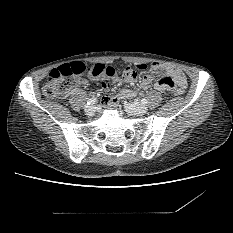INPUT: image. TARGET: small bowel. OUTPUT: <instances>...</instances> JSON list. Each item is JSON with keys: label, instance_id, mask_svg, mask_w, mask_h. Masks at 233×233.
Wrapping results in <instances>:
<instances>
[{"label": "small bowel", "instance_id": "1", "mask_svg": "<svg viewBox=\"0 0 233 233\" xmlns=\"http://www.w3.org/2000/svg\"><path fill=\"white\" fill-rule=\"evenodd\" d=\"M141 64L137 65L139 68ZM152 72L144 74L140 80V87L145 88L150 85L154 78L155 72L159 70H164L166 72V78L160 79L155 83V89L159 92H163L168 88L170 91H175L177 88H185L187 85L186 77L184 76L183 72L173 65H164L162 63H153L152 65ZM116 70V69H115ZM119 80V76L117 72L108 79H101L100 84L102 89L107 92L109 90V85L111 82H117ZM80 82H84V80H80ZM135 96L134 91L130 89H122L117 94L113 96H105L104 101L106 103L114 104L120 100L124 99H131Z\"/></svg>", "mask_w": 233, "mask_h": 233}]
</instances>
